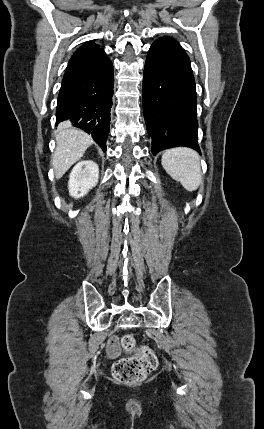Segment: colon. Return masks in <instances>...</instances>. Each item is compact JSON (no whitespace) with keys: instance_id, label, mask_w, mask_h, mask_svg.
Masks as SVG:
<instances>
[{"instance_id":"1","label":"colon","mask_w":264,"mask_h":429,"mask_svg":"<svg viewBox=\"0 0 264 429\" xmlns=\"http://www.w3.org/2000/svg\"><path fill=\"white\" fill-rule=\"evenodd\" d=\"M121 346L124 351L133 354L114 363L112 375L116 381L126 384L139 383L157 367L158 359L155 353L146 346H138L133 334L124 335Z\"/></svg>"}]
</instances>
